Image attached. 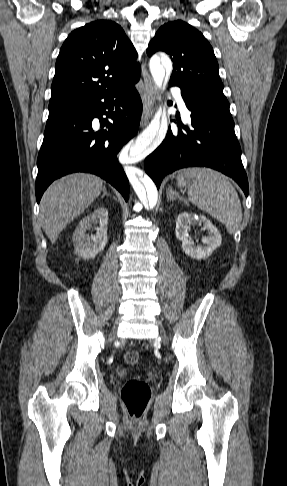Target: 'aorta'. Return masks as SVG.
<instances>
[{
	"label": "aorta",
	"instance_id": "762f6f07",
	"mask_svg": "<svg viewBox=\"0 0 287 486\" xmlns=\"http://www.w3.org/2000/svg\"><path fill=\"white\" fill-rule=\"evenodd\" d=\"M151 75L158 88H161L165 72L170 74L172 71V62L166 55H154L149 63ZM161 117V108L155 114L148 127L140 134L130 149L131 155H138L147 149L157 147L165 138L168 130L167 117L164 114ZM126 174L130 184L136 192L139 199L154 208L158 200V192L155 184L150 179L141 180L135 170L131 167L126 168Z\"/></svg>",
	"mask_w": 287,
	"mask_h": 486
}]
</instances>
